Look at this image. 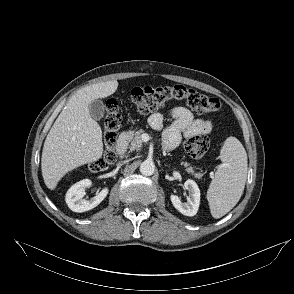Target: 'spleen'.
<instances>
[{"mask_svg":"<svg viewBox=\"0 0 294 294\" xmlns=\"http://www.w3.org/2000/svg\"><path fill=\"white\" fill-rule=\"evenodd\" d=\"M221 167L216 171L207 200L214 218L227 214L239 201L247 177V154L235 137H228L220 152Z\"/></svg>","mask_w":294,"mask_h":294,"instance_id":"3e777b00","label":"spleen"}]
</instances>
